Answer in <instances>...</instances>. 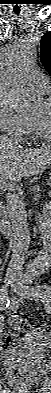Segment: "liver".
<instances>
[{"label":"liver","instance_id":"1","mask_svg":"<svg viewBox=\"0 0 51 393\" xmlns=\"http://www.w3.org/2000/svg\"><path fill=\"white\" fill-rule=\"evenodd\" d=\"M51 164V146L23 148L16 141L0 136V178L19 182L37 175Z\"/></svg>","mask_w":51,"mask_h":393}]
</instances>
